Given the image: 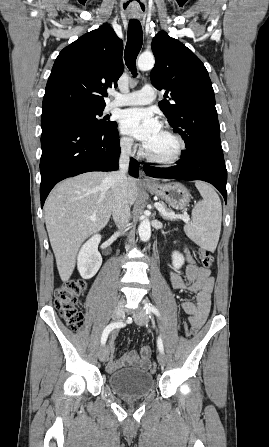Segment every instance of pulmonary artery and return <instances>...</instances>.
<instances>
[{"instance_id":"e3ab8cb5","label":"pulmonary artery","mask_w":269,"mask_h":447,"mask_svg":"<svg viewBox=\"0 0 269 447\" xmlns=\"http://www.w3.org/2000/svg\"><path fill=\"white\" fill-rule=\"evenodd\" d=\"M157 90L151 85H145L140 90L127 94H116L113 106L147 105L155 101Z\"/></svg>"}]
</instances>
